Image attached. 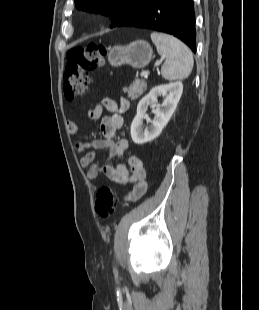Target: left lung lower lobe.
<instances>
[{
  "label": "left lung lower lobe",
  "instance_id": "obj_1",
  "mask_svg": "<svg viewBox=\"0 0 259 310\" xmlns=\"http://www.w3.org/2000/svg\"><path fill=\"white\" fill-rule=\"evenodd\" d=\"M121 26L147 28L174 35L196 52L193 0H151L114 27Z\"/></svg>",
  "mask_w": 259,
  "mask_h": 310
}]
</instances>
